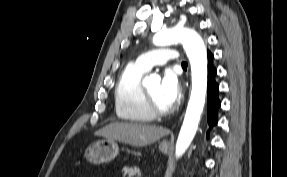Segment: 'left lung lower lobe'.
<instances>
[{
  "label": "left lung lower lobe",
  "instance_id": "left-lung-lower-lobe-1",
  "mask_svg": "<svg viewBox=\"0 0 287 177\" xmlns=\"http://www.w3.org/2000/svg\"><path fill=\"white\" fill-rule=\"evenodd\" d=\"M213 55L208 51V83H207V95H208V124L212 127L218 122V109L221 102L218 98L219 85L215 81L216 68L213 66Z\"/></svg>",
  "mask_w": 287,
  "mask_h": 177
}]
</instances>
